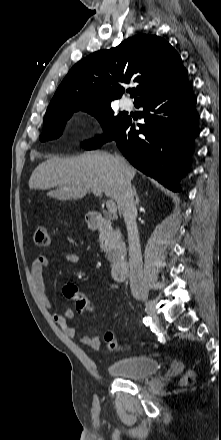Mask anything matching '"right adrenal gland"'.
<instances>
[{"label": "right adrenal gland", "instance_id": "obj_1", "mask_svg": "<svg viewBox=\"0 0 221 440\" xmlns=\"http://www.w3.org/2000/svg\"><path fill=\"white\" fill-rule=\"evenodd\" d=\"M133 193L135 195V203H136V205H138L139 204V196H138V194L136 192L135 186H133Z\"/></svg>", "mask_w": 221, "mask_h": 440}]
</instances>
